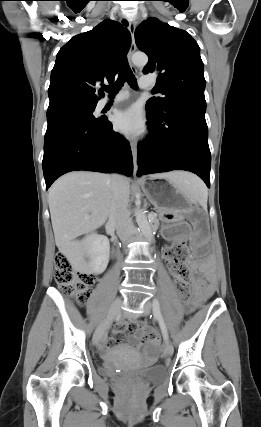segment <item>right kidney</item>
I'll return each mask as SVG.
<instances>
[{
	"label": "right kidney",
	"instance_id": "1",
	"mask_svg": "<svg viewBox=\"0 0 261 427\" xmlns=\"http://www.w3.org/2000/svg\"><path fill=\"white\" fill-rule=\"evenodd\" d=\"M85 251L89 257V270L101 274L107 268L110 254L109 240L105 236L92 233L84 241Z\"/></svg>",
	"mask_w": 261,
	"mask_h": 427
}]
</instances>
